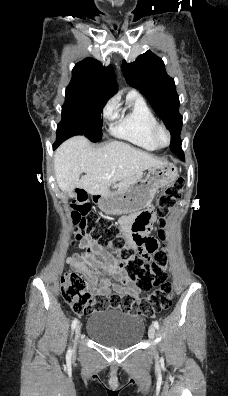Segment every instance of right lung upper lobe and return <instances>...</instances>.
Listing matches in <instances>:
<instances>
[{
  "instance_id": "obj_1",
  "label": "right lung upper lobe",
  "mask_w": 228,
  "mask_h": 396,
  "mask_svg": "<svg viewBox=\"0 0 228 396\" xmlns=\"http://www.w3.org/2000/svg\"><path fill=\"white\" fill-rule=\"evenodd\" d=\"M66 90L90 92L108 100L118 91L112 65L103 67L93 58L84 59L73 68L72 79Z\"/></svg>"
}]
</instances>
